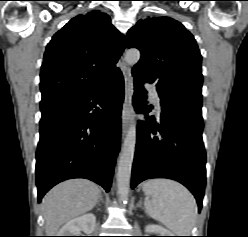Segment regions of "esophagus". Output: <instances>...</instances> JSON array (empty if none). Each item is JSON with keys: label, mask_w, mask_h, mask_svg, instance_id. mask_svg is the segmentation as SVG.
<instances>
[{"label": "esophagus", "mask_w": 248, "mask_h": 237, "mask_svg": "<svg viewBox=\"0 0 248 237\" xmlns=\"http://www.w3.org/2000/svg\"><path fill=\"white\" fill-rule=\"evenodd\" d=\"M122 73L124 77V84H125V98L124 103L122 106V133L123 137L125 136L129 121L131 117V98L133 95V79L131 75L130 67L126 64V62L123 59L122 63Z\"/></svg>", "instance_id": "1"}]
</instances>
